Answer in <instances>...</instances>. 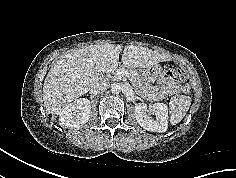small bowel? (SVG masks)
<instances>
[{
	"mask_svg": "<svg viewBox=\"0 0 236 178\" xmlns=\"http://www.w3.org/2000/svg\"><path fill=\"white\" fill-rule=\"evenodd\" d=\"M181 76H182L183 80L187 78L186 74H182ZM177 90H178L177 84L174 81L161 79L156 86V92L153 95V99L154 100H161L166 95L176 92Z\"/></svg>",
	"mask_w": 236,
	"mask_h": 178,
	"instance_id": "obj_1",
	"label": "small bowel"
}]
</instances>
